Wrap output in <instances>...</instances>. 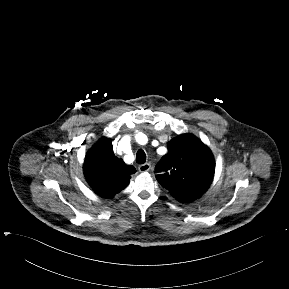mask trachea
Returning a JSON list of instances; mask_svg holds the SVG:
<instances>
[{"mask_svg":"<svg viewBox=\"0 0 289 289\" xmlns=\"http://www.w3.org/2000/svg\"><path fill=\"white\" fill-rule=\"evenodd\" d=\"M136 162L139 164H144L146 162V154L142 149L137 152Z\"/></svg>","mask_w":289,"mask_h":289,"instance_id":"3493384b","label":"trachea"}]
</instances>
